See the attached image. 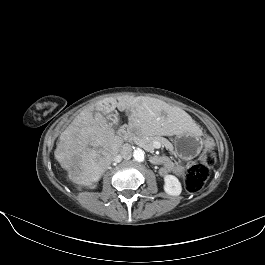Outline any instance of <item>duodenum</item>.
<instances>
[{
	"label": "duodenum",
	"instance_id": "duodenum-1",
	"mask_svg": "<svg viewBox=\"0 0 265 265\" xmlns=\"http://www.w3.org/2000/svg\"><path fill=\"white\" fill-rule=\"evenodd\" d=\"M118 136L119 137H125L126 136V130H124V129H121L120 131H119V133H118Z\"/></svg>",
	"mask_w": 265,
	"mask_h": 265
}]
</instances>
